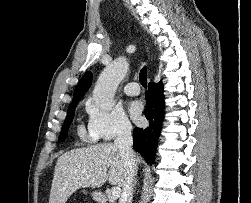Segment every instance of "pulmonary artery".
Masks as SVG:
<instances>
[{"label": "pulmonary artery", "instance_id": "1", "mask_svg": "<svg viewBox=\"0 0 251 203\" xmlns=\"http://www.w3.org/2000/svg\"><path fill=\"white\" fill-rule=\"evenodd\" d=\"M123 91L128 95H138L140 93V88L136 82H130L123 87Z\"/></svg>", "mask_w": 251, "mask_h": 203}]
</instances>
